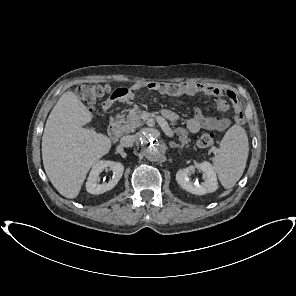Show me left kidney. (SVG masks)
Returning <instances> with one entry per match:
<instances>
[{
    "instance_id": "obj_1",
    "label": "left kidney",
    "mask_w": 296,
    "mask_h": 296,
    "mask_svg": "<svg viewBox=\"0 0 296 296\" xmlns=\"http://www.w3.org/2000/svg\"><path fill=\"white\" fill-rule=\"evenodd\" d=\"M195 169H198L205 174V181L201 184H193L189 179V174L194 172ZM176 181L183 189L196 195H204L218 189V182L214 168L206 161L178 170L176 173Z\"/></svg>"
}]
</instances>
